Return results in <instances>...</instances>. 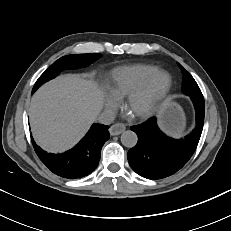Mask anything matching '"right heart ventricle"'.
<instances>
[{"label": "right heart ventricle", "instance_id": "right-heart-ventricle-1", "mask_svg": "<svg viewBox=\"0 0 231 231\" xmlns=\"http://www.w3.org/2000/svg\"><path fill=\"white\" fill-rule=\"evenodd\" d=\"M158 69L150 65L122 66L114 69L108 83L110 95L121 99L153 76Z\"/></svg>", "mask_w": 231, "mask_h": 231}]
</instances>
